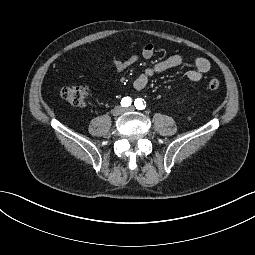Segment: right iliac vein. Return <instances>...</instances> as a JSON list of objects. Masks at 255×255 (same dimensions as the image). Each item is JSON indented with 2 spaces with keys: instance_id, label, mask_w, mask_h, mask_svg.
<instances>
[{
  "instance_id": "right-iliac-vein-1",
  "label": "right iliac vein",
  "mask_w": 255,
  "mask_h": 255,
  "mask_svg": "<svg viewBox=\"0 0 255 255\" xmlns=\"http://www.w3.org/2000/svg\"><path fill=\"white\" fill-rule=\"evenodd\" d=\"M124 109L118 105L116 107H114V109L111 111L112 115L117 117L120 116L123 113Z\"/></svg>"
}]
</instances>
